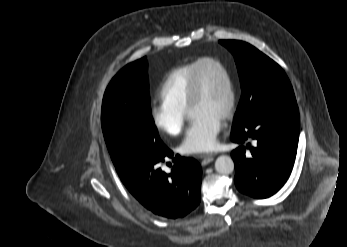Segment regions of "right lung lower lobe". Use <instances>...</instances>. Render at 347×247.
I'll return each mask as SVG.
<instances>
[{
    "mask_svg": "<svg viewBox=\"0 0 347 247\" xmlns=\"http://www.w3.org/2000/svg\"><path fill=\"white\" fill-rule=\"evenodd\" d=\"M173 157L166 146L159 154L134 151L117 160L116 171L130 193L147 209L167 218H179L200 203L201 167L191 158L176 156L171 173L158 167Z\"/></svg>",
    "mask_w": 347,
    "mask_h": 247,
    "instance_id": "98d812e1",
    "label": "right lung lower lobe"
}]
</instances>
